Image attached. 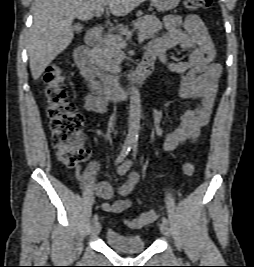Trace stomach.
Returning <instances> with one entry per match:
<instances>
[{
    "label": "stomach",
    "instance_id": "0dacf381",
    "mask_svg": "<svg viewBox=\"0 0 254 267\" xmlns=\"http://www.w3.org/2000/svg\"><path fill=\"white\" fill-rule=\"evenodd\" d=\"M181 0H151L152 5L158 11H169L179 5Z\"/></svg>",
    "mask_w": 254,
    "mask_h": 267
}]
</instances>
